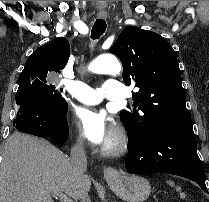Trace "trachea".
<instances>
[{
  "mask_svg": "<svg viewBox=\"0 0 209 202\" xmlns=\"http://www.w3.org/2000/svg\"><path fill=\"white\" fill-rule=\"evenodd\" d=\"M106 22L103 19H97L91 30V39H99L106 30Z\"/></svg>",
  "mask_w": 209,
  "mask_h": 202,
  "instance_id": "1",
  "label": "trachea"
}]
</instances>
